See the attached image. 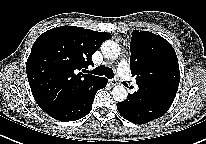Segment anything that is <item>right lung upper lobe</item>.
<instances>
[{
	"mask_svg": "<svg viewBox=\"0 0 206 144\" xmlns=\"http://www.w3.org/2000/svg\"><path fill=\"white\" fill-rule=\"evenodd\" d=\"M110 38L107 32L76 26H61L40 35L26 63L29 85L40 108L47 113L95 82L98 76L83 72L93 65L95 51Z\"/></svg>",
	"mask_w": 206,
	"mask_h": 144,
	"instance_id": "cb5924a9",
	"label": "right lung upper lobe"
}]
</instances>
